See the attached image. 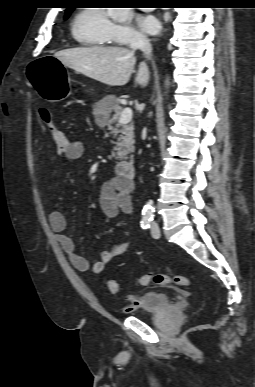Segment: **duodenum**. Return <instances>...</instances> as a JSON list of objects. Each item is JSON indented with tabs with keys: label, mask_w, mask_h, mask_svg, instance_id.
Here are the masks:
<instances>
[{
	"label": "duodenum",
	"mask_w": 255,
	"mask_h": 387,
	"mask_svg": "<svg viewBox=\"0 0 255 387\" xmlns=\"http://www.w3.org/2000/svg\"><path fill=\"white\" fill-rule=\"evenodd\" d=\"M117 175L125 182L131 183L136 174L134 161L125 159L116 164Z\"/></svg>",
	"instance_id": "duodenum-1"
}]
</instances>
